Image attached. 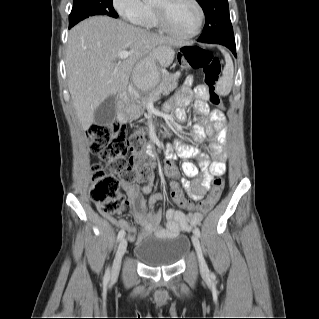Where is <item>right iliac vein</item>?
Returning <instances> with one entry per match:
<instances>
[{"label":"right iliac vein","mask_w":319,"mask_h":319,"mask_svg":"<svg viewBox=\"0 0 319 319\" xmlns=\"http://www.w3.org/2000/svg\"><path fill=\"white\" fill-rule=\"evenodd\" d=\"M127 250V240L123 238L117 248L115 259L112 265V277H115L118 275L121 265L122 257L124 256L125 252Z\"/></svg>","instance_id":"obj_1"}]
</instances>
